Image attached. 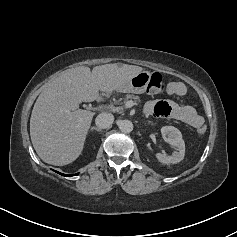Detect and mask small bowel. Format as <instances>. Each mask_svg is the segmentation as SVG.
<instances>
[{"mask_svg":"<svg viewBox=\"0 0 237 237\" xmlns=\"http://www.w3.org/2000/svg\"><path fill=\"white\" fill-rule=\"evenodd\" d=\"M167 92L181 97L186 94L187 89L182 82L173 81L168 84ZM144 111L157 117H172L197 129L204 123L203 117L193 106L183 103H173L166 100L149 101L146 103Z\"/></svg>","mask_w":237,"mask_h":237,"instance_id":"obj_1","label":"small bowel"}]
</instances>
